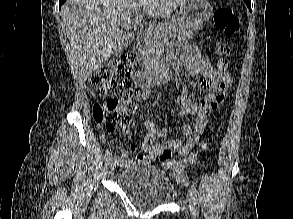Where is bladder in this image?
Wrapping results in <instances>:
<instances>
[{
  "mask_svg": "<svg viewBox=\"0 0 293 219\" xmlns=\"http://www.w3.org/2000/svg\"><path fill=\"white\" fill-rule=\"evenodd\" d=\"M117 184L134 203L144 207L169 204L178 194L170 178L152 165H134L120 171Z\"/></svg>",
  "mask_w": 293,
  "mask_h": 219,
  "instance_id": "31cf9c89",
  "label": "bladder"
}]
</instances>
